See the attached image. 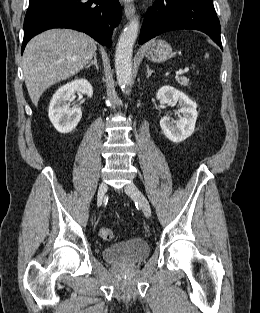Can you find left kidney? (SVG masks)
I'll return each mask as SVG.
<instances>
[{
	"label": "left kidney",
	"mask_w": 260,
	"mask_h": 313,
	"mask_svg": "<svg viewBox=\"0 0 260 313\" xmlns=\"http://www.w3.org/2000/svg\"><path fill=\"white\" fill-rule=\"evenodd\" d=\"M156 98L161 104H172L178 102L180 109L178 110L179 119L171 121L164 116L160 120V127L165 136L172 142H182L192 135L197 120V104L192 101L186 94L171 86L161 87Z\"/></svg>",
	"instance_id": "1"
}]
</instances>
